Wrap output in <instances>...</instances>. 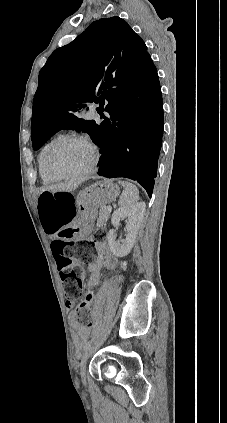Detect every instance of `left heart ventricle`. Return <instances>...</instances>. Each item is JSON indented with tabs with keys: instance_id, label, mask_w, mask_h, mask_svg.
I'll return each mask as SVG.
<instances>
[{
	"instance_id": "obj_1",
	"label": "left heart ventricle",
	"mask_w": 227,
	"mask_h": 423,
	"mask_svg": "<svg viewBox=\"0 0 227 423\" xmlns=\"http://www.w3.org/2000/svg\"><path fill=\"white\" fill-rule=\"evenodd\" d=\"M93 159V152L87 145L73 142L65 145L54 157V162L64 171L72 174L83 172Z\"/></svg>"
}]
</instances>
